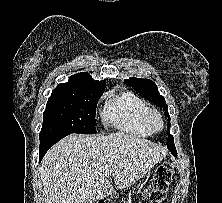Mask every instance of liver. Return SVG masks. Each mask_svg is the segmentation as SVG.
<instances>
[{"mask_svg":"<svg viewBox=\"0 0 222 203\" xmlns=\"http://www.w3.org/2000/svg\"><path fill=\"white\" fill-rule=\"evenodd\" d=\"M167 151L139 136L70 134L52 146L40 166L43 203H93L127 188L160 162Z\"/></svg>","mask_w":222,"mask_h":203,"instance_id":"6515ba94","label":"liver"}]
</instances>
